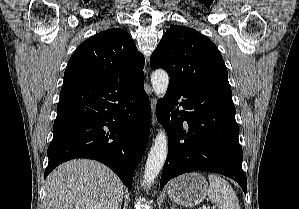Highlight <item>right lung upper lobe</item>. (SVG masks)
<instances>
[{
	"mask_svg": "<svg viewBox=\"0 0 299 209\" xmlns=\"http://www.w3.org/2000/svg\"><path fill=\"white\" fill-rule=\"evenodd\" d=\"M144 56L129 34L112 28L87 39L71 56L63 86L121 80L135 85L144 80Z\"/></svg>",
	"mask_w": 299,
	"mask_h": 209,
	"instance_id": "1",
	"label": "right lung upper lobe"
}]
</instances>
